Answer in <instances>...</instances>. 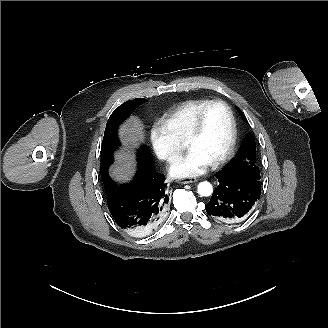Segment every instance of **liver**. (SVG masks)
<instances>
[{"instance_id":"liver-1","label":"liver","mask_w":328,"mask_h":328,"mask_svg":"<svg viewBox=\"0 0 328 328\" xmlns=\"http://www.w3.org/2000/svg\"><path fill=\"white\" fill-rule=\"evenodd\" d=\"M119 137L126 148H134L137 142L144 140V125L136 116H130L120 126ZM117 164L111 168V176L118 182H127L135 172V156L129 151L121 150L115 155Z\"/></svg>"}]
</instances>
